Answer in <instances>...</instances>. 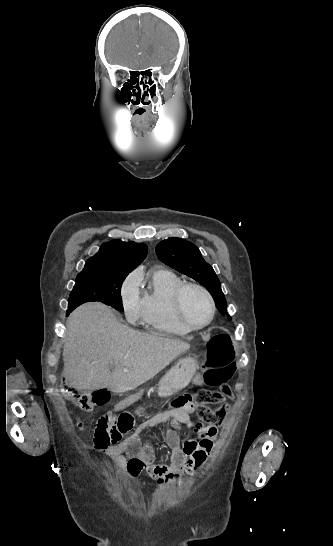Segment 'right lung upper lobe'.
<instances>
[{
	"label": "right lung upper lobe",
	"instance_id": "obj_1",
	"mask_svg": "<svg viewBox=\"0 0 333 546\" xmlns=\"http://www.w3.org/2000/svg\"><path fill=\"white\" fill-rule=\"evenodd\" d=\"M147 251L145 244L112 240L104 243L99 252L86 261L85 268L78 275L97 267L134 270L145 259Z\"/></svg>",
	"mask_w": 333,
	"mask_h": 546
}]
</instances>
